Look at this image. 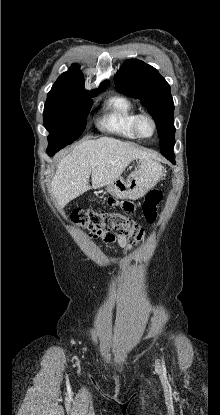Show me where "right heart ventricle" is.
<instances>
[{"label": "right heart ventricle", "mask_w": 220, "mask_h": 415, "mask_svg": "<svg viewBox=\"0 0 220 415\" xmlns=\"http://www.w3.org/2000/svg\"><path fill=\"white\" fill-rule=\"evenodd\" d=\"M138 115L133 103L125 97H113L106 105L100 122L102 129L126 139H137L133 123Z\"/></svg>", "instance_id": "1"}]
</instances>
